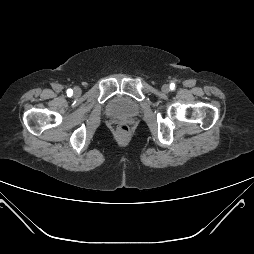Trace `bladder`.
<instances>
[{"instance_id": "obj_1", "label": "bladder", "mask_w": 254, "mask_h": 254, "mask_svg": "<svg viewBox=\"0 0 254 254\" xmlns=\"http://www.w3.org/2000/svg\"><path fill=\"white\" fill-rule=\"evenodd\" d=\"M140 111L137 102L126 96H115L109 100L106 113L111 117L130 118L138 115Z\"/></svg>"}]
</instances>
